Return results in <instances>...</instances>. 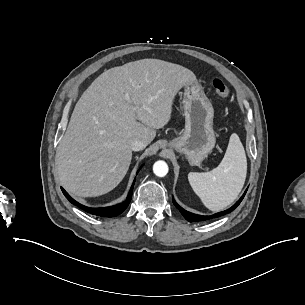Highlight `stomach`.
<instances>
[{
	"label": "stomach",
	"mask_w": 305,
	"mask_h": 305,
	"mask_svg": "<svg viewBox=\"0 0 305 305\" xmlns=\"http://www.w3.org/2000/svg\"><path fill=\"white\" fill-rule=\"evenodd\" d=\"M183 103L185 129L169 146L185 154L190 165H199L215 147L214 108L199 84L185 86Z\"/></svg>",
	"instance_id": "0dacf381"
}]
</instances>
